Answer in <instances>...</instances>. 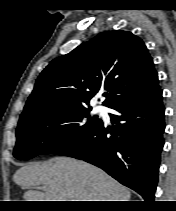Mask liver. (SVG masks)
Wrapping results in <instances>:
<instances>
[{
  "label": "liver",
  "instance_id": "liver-1",
  "mask_svg": "<svg viewBox=\"0 0 176 211\" xmlns=\"http://www.w3.org/2000/svg\"><path fill=\"white\" fill-rule=\"evenodd\" d=\"M25 189V201H130V191L106 172L81 160L55 157L46 163H30L13 175ZM44 186V192L32 190Z\"/></svg>",
  "mask_w": 176,
  "mask_h": 211
}]
</instances>
